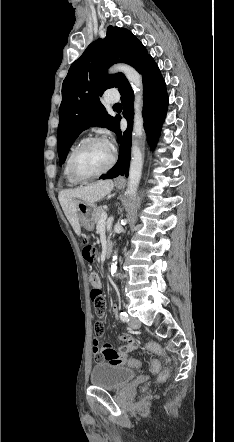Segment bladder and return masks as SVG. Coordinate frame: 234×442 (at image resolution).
Masks as SVG:
<instances>
[{
    "mask_svg": "<svg viewBox=\"0 0 234 442\" xmlns=\"http://www.w3.org/2000/svg\"><path fill=\"white\" fill-rule=\"evenodd\" d=\"M136 377L132 368L112 364H98L93 367L90 382L105 389H120Z\"/></svg>",
    "mask_w": 234,
    "mask_h": 442,
    "instance_id": "1",
    "label": "bladder"
}]
</instances>
